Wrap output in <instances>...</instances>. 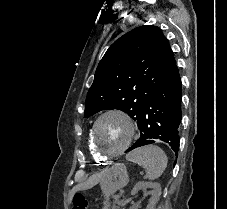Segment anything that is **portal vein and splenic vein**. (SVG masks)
I'll return each instance as SVG.
<instances>
[{"label":"portal vein and splenic vein","instance_id":"1","mask_svg":"<svg viewBox=\"0 0 227 209\" xmlns=\"http://www.w3.org/2000/svg\"><path fill=\"white\" fill-rule=\"evenodd\" d=\"M120 193H121V194H124V193H125V190H124V189H121V190H120ZM113 197L116 198V199H117V198L119 199L121 196H120L119 194H118V195L116 194V195H114Z\"/></svg>","mask_w":227,"mask_h":209}]
</instances>
